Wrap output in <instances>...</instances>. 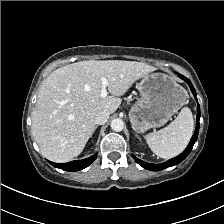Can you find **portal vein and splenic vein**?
<instances>
[{
  "mask_svg": "<svg viewBox=\"0 0 224 224\" xmlns=\"http://www.w3.org/2000/svg\"><path fill=\"white\" fill-rule=\"evenodd\" d=\"M101 84H102V86H101V93H100V97H102V98H105V97H107V85H108V81H107V79L105 78V77H103L102 79H101Z\"/></svg>",
  "mask_w": 224,
  "mask_h": 224,
  "instance_id": "1",
  "label": "portal vein and splenic vein"
}]
</instances>
